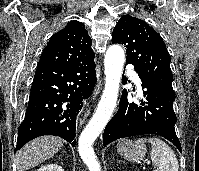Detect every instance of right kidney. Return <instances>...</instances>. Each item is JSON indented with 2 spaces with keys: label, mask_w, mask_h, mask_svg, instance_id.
Returning <instances> with one entry per match:
<instances>
[{
  "label": "right kidney",
  "mask_w": 199,
  "mask_h": 171,
  "mask_svg": "<svg viewBox=\"0 0 199 171\" xmlns=\"http://www.w3.org/2000/svg\"><path fill=\"white\" fill-rule=\"evenodd\" d=\"M37 171H64L58 164H46L41 166Z\"/></svg>",
  "instance_id": "right-kidney-1"
}]
</instances>
